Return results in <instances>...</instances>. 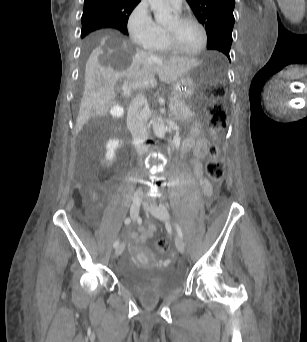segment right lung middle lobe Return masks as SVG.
<instances>
[{"label":"right lung middle lobe","instance_id":"right-lung-middle-lobe-1","mask_svg":"<svg viewBox=\"0 0 307 342\" xmlns=\"http://www.w3.org/2000/svg\"><path fill=\"white\" fill-rule=\"evenodd\" d=\"M81 22H82V32H81L82 38L94 30L106 28L109 25L108 19L104 15L96 13V12H83ZM122 32L124 34H128V31H122Z\"/></svg>","mask_w":307,"mask_h":342}]
</instances>
